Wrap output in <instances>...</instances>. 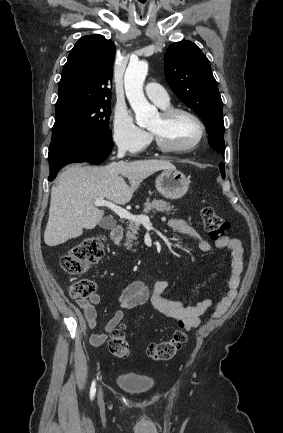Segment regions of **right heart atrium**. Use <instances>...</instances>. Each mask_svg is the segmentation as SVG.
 I'll list each match as a JSON object with an SVG mask.
<instances>
[{
    "mask_svg": "<svg viewBox=\"0 0 283 433\" xmlns=\"http://www.w3.org/2000/svg\"><path fill=\"white\" fill-rule=\"evenodd\" d=\"M111 138L119 151L130 155L140 153L150 142L149 134L135 124L132 114L118 107L111 115Z\"/></svg>",
    "mask_w": 283,
    "mask_h": 433,
    "instance_id": "d8ad5b80",
    "label": "right heart atrium"
}]
</instances>
